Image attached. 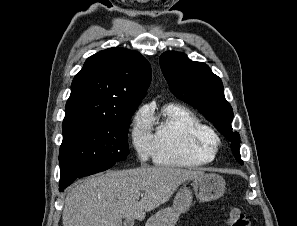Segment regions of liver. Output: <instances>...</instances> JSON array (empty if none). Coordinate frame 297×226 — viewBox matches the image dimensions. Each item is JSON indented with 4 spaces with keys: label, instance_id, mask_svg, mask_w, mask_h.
I'll list each match as a JSON object with an SVG mask.
<instances>
[{
    "label": "liver",
    "instance_id": "liver-1",
    "mask_svg": "<svg viewBox=\"0 0 297 226\" xmlns=\"http://www.w3.org/2000/svg\"><path fill=\"white\" fill-rule=\"evenodd\" d=\"M203 175L180 168L141 167L88 177L67 194L63 226H122L123 218L142 221L146 212L166 203L179 185Z\"/></svg>",
    "mask_w": 297,
    "mask_h": 226
}]
</instances>
